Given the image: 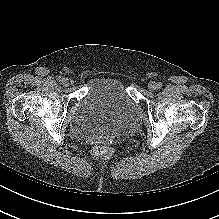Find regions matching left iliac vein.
Here are the masks:
<instances>
[{
	"label": "left iliac vein",
	"instance_id": "1",
	"mask_svg": "<svg viewBox=\"0 0 219 219\" xmlns=\"http://www.w3.org/2000/svg\"><path fill=\"white\" fill-rule=\"evenodd\" d=\"M156 88H157V87H156V83H155L154 81H150V82L148 83V89H149L150 91H154Z\"/></svg>",
	"mask_w": 219,
	"mask_h": 219
}]
</instances>
